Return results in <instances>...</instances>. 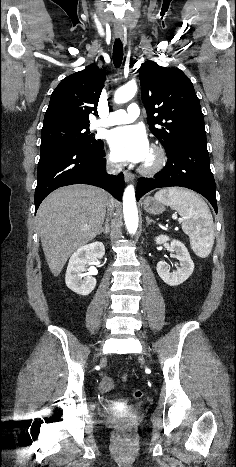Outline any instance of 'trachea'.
Listing matches in <instances>:
<instances>
[{
  "mask_svg": "<svg viewBox=\"0 0 236 467\" xmlns=\"http://www.w3.org/2000/svg\"><path fill=\"white\" fill-rule=\"evenodd\" d=\"M123 60V45L120 39H116L113 46V63L116 68L121 66Z\"/></svg>",
  "mask_w": 236,
  "mask_h": 467,
  "instance_id": "trachea-1",
  "label": "trachea"
}]
</instances>
